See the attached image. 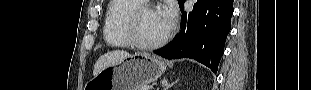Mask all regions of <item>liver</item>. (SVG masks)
<instances>
[{"mask_svg":"<svg viewBox=\"0 0 311 90\" xmlns=\"http://www.w3.org/2000/svg\"><path fill=\"white\" fill-rule=\"evenodd\" d=\"M130 54L123 50H114L107 52L99 57L93 69V76L95 77L101 70L108 66L119 64L122 60L129 57Z\"/></svg>","mask_w":311,"mask_h":90,"instance_id":"6515ba94","label":"liver"}]
</instances>
